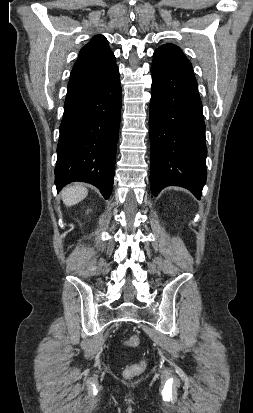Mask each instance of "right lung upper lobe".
<instances>
[{"label": "right lung upper lobe", "instance_id": "right-lung-upper-lobe-1", "mask_svg": "<svg viewBox=\"0 0 253 413\" xmlns=\"http://www.w3.org/2000/svg\"><path fill=\"white\" fill-rule=\"evenodd\" d=\"M117 68L115 56L102 35L81 50L71 71L66 100L85 94L103 83Z\"/></svg>", "mask_w": 253, "mask_h": 413}]
</instances>
